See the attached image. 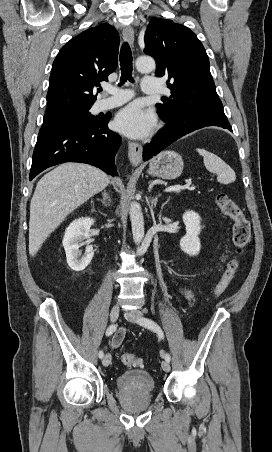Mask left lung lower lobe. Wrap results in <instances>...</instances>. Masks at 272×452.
I'll return each instance as SVG.
<instances>
[{
    "label": "left lung lower lobe",
    "instance_id": "obj_1",
    "mask_svg": "<svg viewBox=\"0 0 272 452\" xmlns=\"http://www.w3.org/2000/svg\"><path fill=\"white\" fill-rule=\"evenodd\" d=\"M164 121L167 123V125L158 132L152 142L144 146L143 160L146 161L157 155L160 151H162L184 135L206 126H217L232 131V127L230 126L226 117L204 119L201 121L189 123L178 122L175 120Z\"/></svg>",
    "mask_w": 272,
    "mask_h": 452
}]
</instances>
